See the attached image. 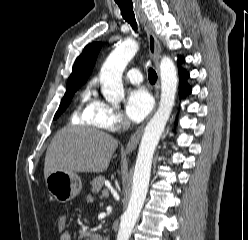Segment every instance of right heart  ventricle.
<instances>
[{"mask_svg":"<svg viewBox=\"0 0 248 240\" xmlns=\"http://www.w3.org/2000/svg\"><path fill=\"white\" fill-rule=\"evenodd\" d=\"M97 100L93 97L91 88H87L81 95L76 110V120L80 124H90V115Z\"/></svg>","mask_w":248,"mask_h":240,"instance_id":"obj_1","label":"right heart ventricle"}]
</instances>
